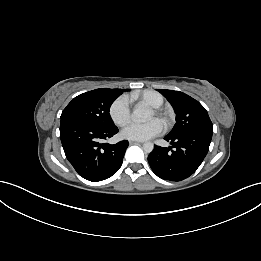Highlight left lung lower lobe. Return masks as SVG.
<instances>
[{
    "instance_id": "0a47b994",
    "label": "left lung lower lobe",
    "mask_w": 261,
    "mask_h": 261,
    "mask_svg": "<svg viewBox=\"0 0 261 261\" xmlns=\"http://www.w3.org/2000/svg\"><path fill=\"white\" fill-rule=\"evenodd\" d=\"M212 138L210 131H193L167 135L164 139L172 146H156L148 156L153 172L160 178L181 181L191 176L208 153Z\"/></svg>"
}]
</instances>
